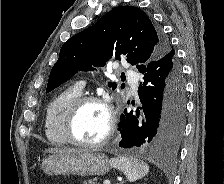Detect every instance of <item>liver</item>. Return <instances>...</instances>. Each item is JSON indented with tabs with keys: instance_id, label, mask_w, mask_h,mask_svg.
Instances as JSON below:
<instances>
[{
	"instance_id": "1",
	"label": "liver",
	"mask_w": 224,
	"mask_h": 184,
	"mask_svg": "<svg viewBox=\"0 0 224 184\" xmlns=\"http://www.w3.org/2000/svg\"><path fill=\"white\" fill-rule=\"evenodd\" d=\"M45 152L51 153L53 155H57V154H64V153H73V152H77V150L66 149V148H48L45 150Z\"/></svg>"
}]
</instances>
